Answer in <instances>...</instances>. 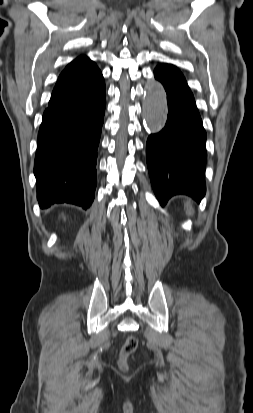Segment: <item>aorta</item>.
Here are the masks:
<instances>
[{"instance_id": "aorta-1", "label": "aorta", "mask_w": 253, "mask_h": 413, "mask_svg": "<svg viewBox=\"0 0 253 413\" xmlns=\"http://www.w3.org/2000/svg\"><path fill=\"white\" fill-rule=\"evenodd\" d=\"M147 94L143 100V117L149 132L157 133L165 125L168 114L166 93L156 81L147 85Z\"/></svg>"}]
</instances>
